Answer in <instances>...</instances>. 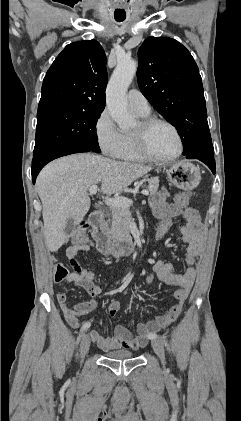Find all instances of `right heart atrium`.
<instances>
[{
    "label": "right heart atrium",
    "instance_id": "d8ad5b80",
    "mask_svg": "<svg viewBox=\"0 0 241 421\" xmlns=\"http://www.w3.org/2000/svg\"><path fill=\"white\" fill-rule=\"evenodd\" d=\"M94 132L104 155L116 157L121 144V131L117 128L110 112L104 109L98 116Z\"/></svg>",
    "mask_w": 241,
    "mask_h": 421
}]
</instances>
